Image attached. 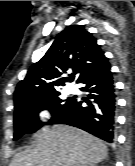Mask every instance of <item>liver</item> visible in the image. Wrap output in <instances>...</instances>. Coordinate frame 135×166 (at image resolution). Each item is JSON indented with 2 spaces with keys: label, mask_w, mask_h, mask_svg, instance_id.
<instances>
[{
  "label": "liver",
  "mask_w": 135,
  "mask_h": 166,
  "mask_svg": "<svg viewBox=\"0 0 135 166\" xmlns=\"http://www.w3.org/2000/svg\"><path fill=\"white\" fill-rule=\"evenodd\" d=\"M34 139L35 147L18 153L9 166H86L107 157L102 140L68 125L44 127Z\"/></svg>",
  "instance_id": "1"
}]
</instances>
